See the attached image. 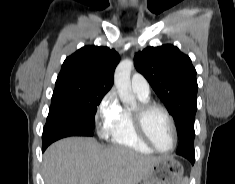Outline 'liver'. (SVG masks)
<instances>
[{
	"label": "liver",
	"mask_w": 235,
	"mask_h": 184,
	"mask_svg": "<svg viewBox=\"0 0 235 184\" xmlns=\"http://www.w3.org/2000/svg\"><path fill=\"white\" fill-rule=\"evenodd\" d=\"M166 156H139L95 138H64L47 148L43 160L46 184H139Z\"/></svg>",
	"instance_id": "6515ba94"
}]
</instances>
